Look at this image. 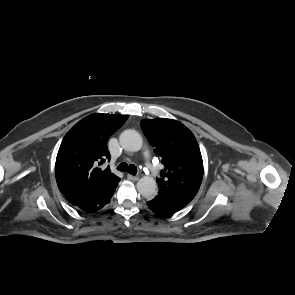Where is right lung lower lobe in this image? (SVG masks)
<instances>
[{
    "label": "right lung lower lobe",
    "instance_id": "obj_1",
    "mask_svg": "<svg viewBox=\"0 0 295 295\" xmlns=\"http://www.w3.org/2000/svg\"><path fill=\"white\" fill-rule=\"evenodd\" d=\"M119 181L120 178L117 177L106 183L96 192H93L85 196L70 197L67 198V200L77 209L83 212L94 213L102 209L105 205H107L110 202L111 197L113 196Z\"/></svg>",
    "mask_w": 295,
    "mask_h": 295
}]
</instances>
